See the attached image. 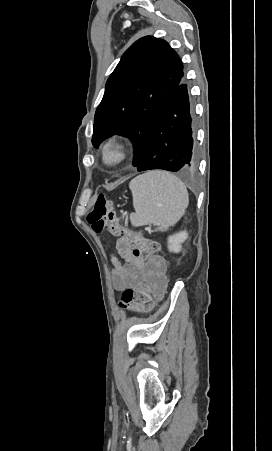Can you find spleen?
I'll return each instance as SVG.
<instances>
[{
    "label": "spleen",
    "instance_id": "1",
    "mask_svg": "<svg viewBox=\"0 0 272 451\" xmlns=\"http://www.w3.org/2000/svg\"><path fill=\"white\" fill-rule=\"evenodd\" d=\"M129 188L135 210V214H130L132 226L155 224L159 231H166L179 222L188 208L185 184L169 172H146L131 180Z\"/></svg>",
    "mask_w": 272,
    "mask_h": 451
}]
</instances>
